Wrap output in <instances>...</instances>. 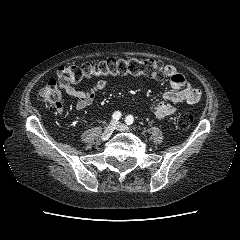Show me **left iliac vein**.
I'll use <instances>...</instances> for the list:
<instances>
[{"mask_svg": "<svg viewBox=\"0 0 240 240\" xmlns=\"http://www.w3.org/2000/svg\"><path fill=\"white\" fill-rule=\"evenodd\" d=\"M115 129L123 132H128L130 130L126 125L119 122L115 123Z\"/></svg>", "mask_w": 240, "mask_h": 240, "instance_id": "left-iliac-vein-1", "label": "left iliac vein"}]
</instances>
